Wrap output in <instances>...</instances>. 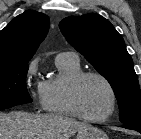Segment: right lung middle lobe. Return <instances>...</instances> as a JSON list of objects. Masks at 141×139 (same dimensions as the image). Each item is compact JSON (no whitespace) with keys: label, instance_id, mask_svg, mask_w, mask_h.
Here are the masks:
<instances>
[{"label":"right lung middle lobe","instance_id":"1","mask_svg":"<svg viewBox=\"0 0 141 139\" xmlns=\"http://www.w3.org/2000/svg\"><path fill=\"white\" fill-rule=\"evenodd\" d=\"M28 64H0V110L32 102L26 87Z\"/></svg>","mask_w":141,"mask_h":139}]
</instances>
